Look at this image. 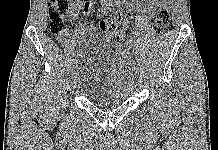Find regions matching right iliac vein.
I'll return each mask as SVG.
<instances>
[{
	"mask_svg": "<svg viewBox=\"0 0 218 150\" xmlns=\"http://www.w3.org/2000/svg\"><path fill=\"white\" fill-rule=\"evenodd\" d=\"M78 74H79L78 70H75V72H74V80H75V82L77 81Z\"/></svg>",
	"mask_w": 218,
	"mask_h": 150,
	"instance_id": "63e3f726",
	"label": "right iliac vein"
}]
</instances>
